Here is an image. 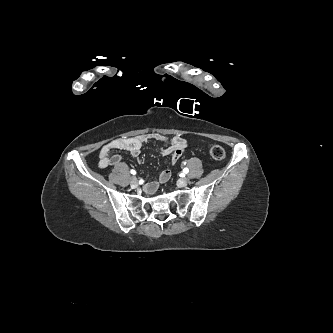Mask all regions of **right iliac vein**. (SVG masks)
<instances>
[{"label":"right iliac vein","mask_w":333,"mask_h":333,"mask_svg":"<svg viewBox=\"0 0 333 333\" xmlns=\"http://www.w3.org/2000/svg\"><path fill=\"white\" fill-rule=\"evenodd\" d=\"M130 183H131V185H132L133 187H137V185H138V180H137V178H136L135 176H132V177L130 178Z\"/></svg>","instance_id":"obj_1"}]
</instances>
